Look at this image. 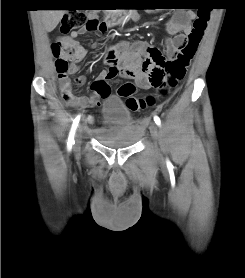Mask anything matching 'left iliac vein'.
<instances>
[{
  "mask_svg": "<svg viewBox=\"0 0 245 278\" xmlns=\"http://www.w3.org/2000/svg\"><path fill=\"white\" fill-rule=\"evenodd\" d=\"M150 133H151V136L154 139L155 143H157L160 139L161 134H160L158 127L155 124H151Z\"/></svg>",
  "mask_w": 245,
  "mask_h": 278,
  "instance_id": "obj_1",
  "label": "left iliac vein"
}]
</instances>
